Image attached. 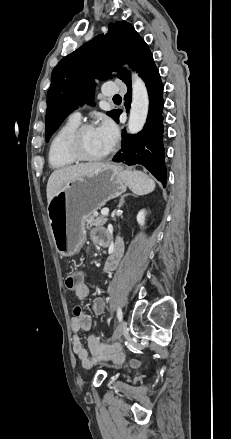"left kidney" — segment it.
I'll return each instance as SVG.
<instances>
[{
  "mask_svg": "<svg viewBox=\"0 0 231 439\" xmlns=\"http://www.w3.org/2000/svg\"><path fill=\"white\" fill-rule=\"evenodd\" d=\"M146 211L143 209L137 215V222L140 225H144L145 222Z\"/></svg>",
  "mask_w": 231,
  "mask_h": 439,
  "instance_id": "obj_1",
  "label": "left kidney"
}]
</instances>
